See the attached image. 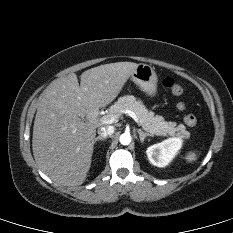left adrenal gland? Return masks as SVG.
<instances>
[{
  "label": "left adrenal gland",
  "mask_w": 233,
  "mask_h": 233,
  "mask_svg": "<svg viewBox=\"0 0 233 233\" xmlns=\"http://www.w3.org/2000/svg\"><path fill=\"white\" fill-rule=\"evenodd\" d=\"M138 134H139V138H140V141L143 143L145 138L148 137V136H152L151 134L149 133H145L143 132L141 129H138L137 130Z\"/></svg>",
  "instance_id": "1"
}]
</instances>
